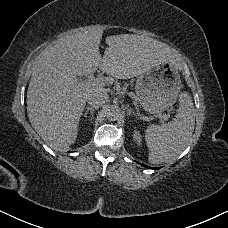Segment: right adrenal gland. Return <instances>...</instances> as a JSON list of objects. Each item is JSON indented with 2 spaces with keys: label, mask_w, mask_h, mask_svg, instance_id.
Segmentation results:
<instances>
[{
  "label": "right adrenal gland",
  "mask_w": 228,
  "mask_h": 228,
  "mask_svg": "<svg viewBox=\"0 0 228 228\" xmlns=\"http://www.w3.org/2000/svg\"><path fill=\"white\" fill-rule=\"evenodd\" d=\"M98 110V108H91V107H88L85 114H84V118H83V121H85L88 117V114L90 113L91 114V120L90 122L92 123L93 122V118H94V111Z\"/></svg>",
  "instance_id": "right-adrenal-gland-1"
}]
</instances>
